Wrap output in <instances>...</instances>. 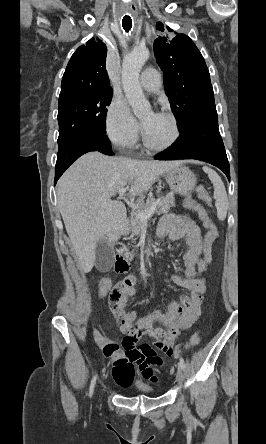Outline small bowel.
Instances as JSON below:
<instances>
[{"label":"small bowel","instance_id":"small-bowel-1","mask_svg":"<svg viewBox=\"0 0 266 444\" xmlns=\"http://www.w3.org/2000/svg\"><path fill=\"white\" fill-rule=\"evenodd\" d=\"M159 234L168 235L171 241L185 239L187 249L182 257L185 277L177 274H171L170 277L178 287L190 290V294L179 298L171 297L167 310L157 309L150 315L126 311L124 306L112 308L111 311L120 330L125 334L120 346L94 329L96 343L103 349L105 355L114 360L113 377L122 387H128L132 383L135 368H138L145 378L156 381L152 367L161 366L163 363L157 352H162L168 357L174 356L177 350L174 345L176 338L182 330L190 328L201 313L202 298L206 290L205 281L203 278L194 277L195 265L202 252L199 228L187 216L170 214L163 218ZM127 280L132 283L131 295H133L138 278L129 276ZM111 285L110 279L102 280L98 286V297L105 298ZM143 337L154 338V346L136 347L137 342Z\"/></svg>","mask_w":266,"mask_h":444}]
</instances>
